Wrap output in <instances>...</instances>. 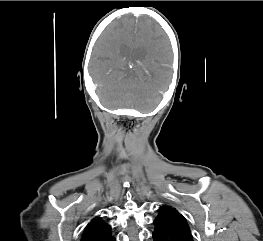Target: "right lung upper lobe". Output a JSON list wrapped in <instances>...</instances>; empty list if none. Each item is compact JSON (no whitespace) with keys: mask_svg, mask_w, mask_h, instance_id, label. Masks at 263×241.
Listing matches in <instances>:
<instances>
[{"mask_svg":"<svg viewBox=\"0 0 263 241\" xmlns=\"http://www.w3.org/2000/svg\"><path fill=\"white\" fill-rule=\"evenodd\" d=\"M111 228L101 218H94L85 227L81 241H112Z\"/></svg>","mask_w":263,"mask_h":241,"instance_id":"cb5924a9","label":"right lung upper lobe"}]
</instances>
